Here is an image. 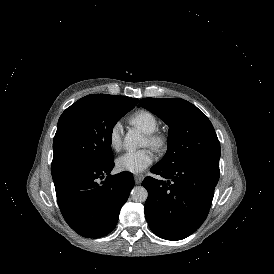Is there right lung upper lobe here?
<instances>
[{
	"instance_id": "right-lung-upper-lobe-1",
	"label": "right lung upper lobe",
	"mask_w": 274,
	"mask_h": 274,
	"mask_svg": "<svg viewBox=\"0 0 274 274\" xmlns=\"http://www.w3.org/2000/svg\"><path fill=\"white\" fill-rule=\"evenodd\" d=\"M114 95H107V94H92V95H88L85 96L83 98H81L80 100H78L79 102H89V101H95V100H99V99H103V98H107V97H113ZM135 104L138 103V99H133Z\"/></svg>"
}]
</instances>
